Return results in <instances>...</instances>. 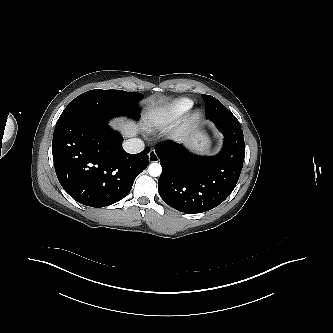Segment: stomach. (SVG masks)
<instances>
[{"label": "stomach", "mask_w": 333, "mask_h": 333, "mask_svg": "<svg viewBox=\"0 0 333 333\" xmlns=\"http://www.w3.org/2000/svg\"><path fill=\"white\" fill-rule=\"evenodd\" d=\"M190 147L198 152L207 153L210 150V142L201 132L195 131L190 137Z\"/></svg>", "instance_id": "0dacf381"}]
</instances>
